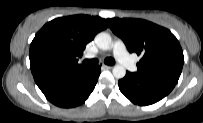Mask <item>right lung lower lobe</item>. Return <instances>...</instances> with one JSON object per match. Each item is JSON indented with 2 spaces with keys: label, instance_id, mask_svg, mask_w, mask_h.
Returning a JSON list of instances; mask_svg holds the SVG:
<instances>
[{
  "label": "right lung lower lobe",
  "instance_id": "obj_1",
  "mask_svg": "<svg viewBox=\"0 0 203 123\" xmlns=\"http://www.w3.org/2000/svg\"><path fill=\"white\" fill-rule=\"evenodd\" d=\"M101 69L81 67L72 69H47L33 74L45 97L63 108L82 104L94 90Z\"/></svg>",
  "mask_w": 203,
  "mask_h": 123
}]
</instances>
